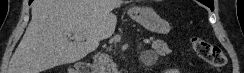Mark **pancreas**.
Here are the masks:
<instances>
[{
  "instance_id": "obj_1",
  "label": "pancreas",
  "mask_w": 244,
  "mask_h": 73,
  "mask_svg": "<svg viewBox=\"0 0 244 73\" xmlns=\"http://www.w3.org/2000/svg\"><path fill=\"white\" fill-rule=\"evenodd\" d=\"M152 48L154 50V53L157 56H164V55L169 54L171 52L167 43H165L162 40L154 41L152 44ZM95 65L98 69V73H107L111 70L114 63L112 62L111 58L108 55L101 54L95 60Z\"/></svg>"
}]
</instances>
